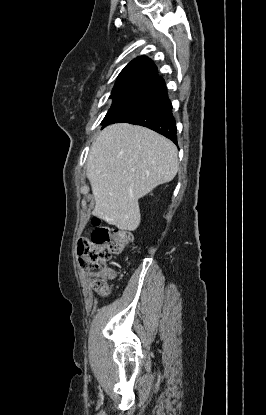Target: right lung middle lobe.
Returning a JSON list of instances; mask_svg holds the SVG:
<instances>
[{"label": "right lung middle lobe", "mask_w": 266, "mask_h": 415, "mask_svg": "<svg viewBox=\"0 0 266 415\" xmlns=\"http://www.w3.org/2000/svg\"><path fill=\"white\" fill-rule=\"evenodd\" d=\"M147 96L148 94L138 92H112L110 97L113 98V103L102 121V124L105 125L112 116L141 101Z\"/></svg>", "instance_id": "dd1d6c3e"}]
</instances>
